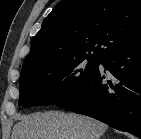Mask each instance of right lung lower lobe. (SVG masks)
Wrapping results in <instances>:
<instances>
[{
	"label": "right lung lower lobe",
	"mask_w": 141,
	"mask_h": 139,
	"mask_svg": "<svg viewBox=\"0 0 141 139\" xmlns=\"http://www.w3.org/2000/svg\"><path fill=\"white\" fill-rule=\"evenodd\" d=\"M100 63L110 76L98 69L81 88L56 105L141 139V41L109 53Z\"/></svg>",
	"instance_id": "98d812e1"
}]
</instances>
